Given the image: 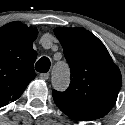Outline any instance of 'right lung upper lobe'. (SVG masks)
Here are the masks:
<instances>
[{
  "label": "right lung upper lobe",
  "mask_w": 125,
  "mask_h": 125,
  "mask_svg": "<svg viewBox=\"0 0 125 125\" xmlns=\"http://www.w3.org/2000/svg\"><path fill=\"white\" fill-rule=\"evenodd\" d=\"M36 28L11 22L0 28V107L18 99L36 77Z\"/></svg>",
  "instance_id": "1"
}]
</instances>
